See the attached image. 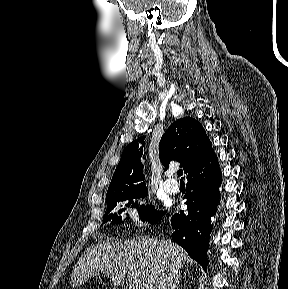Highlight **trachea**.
Wrapping results in <instances>:
<instances>
[{"label":"trachea","mask_w":288,"mask_h":289,"mask_svg":"<svg viewBox=\"0 0 288 289\" xmlns=\"http://www.w3.org/2000/svg\"><path fill=\"white\" fill-rule=\"evenodd\" d=\"M177 175L179 177H181V180H183V177H182L183 176V170L182 169L178 170Z\"/></svg>","instance_id":"1"}]
</instances>
